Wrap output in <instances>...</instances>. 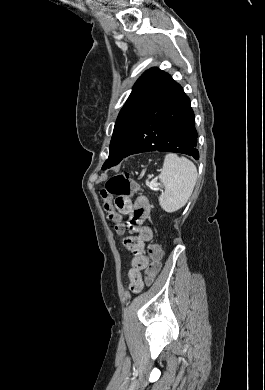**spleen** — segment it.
Wrapping results in <instances>:
<instances>
[{
  "mask_svg": "<svg viewBox=\"0 0 265 390\" xmlns=\"http://www.w3.org/2000/svg\"><path fill=\"white\" fill-rule=\"evenodd\" d=\"M158 177L165 186L159 204L163 210L172 213L182 208L191 196L197 180V169L190 160L167 154Z\"/></svg>",
  "mask_w": 265,
  "mask_h": 390,
  "instance_id": "spleen-1",
  "label": "spleen"
}]
</instances>
